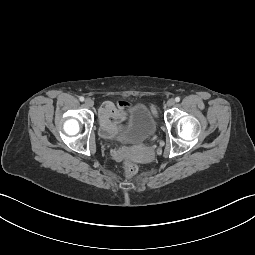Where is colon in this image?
Here are the masks:
<instances>
[{
    "label": "colon",
    "mask_w": 255,
    "mask_h": 255,
    "mask_svg": "<svg viewBox=\"0 0 255 255\" xmlns=\"http://www.w3.org/2000/svg\"><path fill=\"white\" fill-rule=\"evenodd\" d=\"M151 109L155 111V107L151 105ZM125 176L127 178H132L136 175L138 171L137 165L130 159H126L123 164Z\"/></svg>",
    "instance_id": "obj_1"
}]
</instances>
